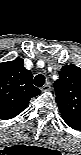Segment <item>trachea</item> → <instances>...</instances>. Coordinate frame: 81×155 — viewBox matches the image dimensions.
Returning <instances> with one entry per match:
<instances>
[{"instance_id": "obj_1", "label": "trachea", "mask_w": 81, "mask_h": 155, "mask_svg": "<svg viewBox=\"0 0 81 155\" xmlns=\"http://www.w3.org/2000/svg\"><path fill=\"white\" fill-rule=\"evenodd\" d=\"M45 83V77L42 74H38L35 78H34V84L37 87H42Z\"/></svg>"}]
</instances>
